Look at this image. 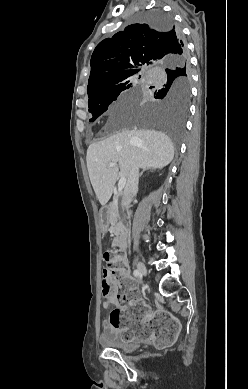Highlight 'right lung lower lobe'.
Listing matches in <instances>:
<instances>
[{
	"mask_svg": "<svg viewBox=\"0 0 248 389\" xmlns=\"http://www.w3.org/2000/svg\"><path fill=\"white\" fill-rule=\"evenodd\" d=\"M182 41H183V40H182V35H181V33L179 32V41H178V46L182 44ZM178 48H180V47H178ZM178 48L176 49V50H177V52H178V50H179Z\"/></svg>",
	"mask_w": 248,
	"mask_h": 389,
	"instance_id": "1",
	"label": "right lung lower lobe"
}]
</instances>
